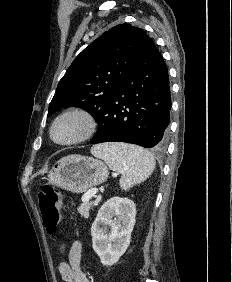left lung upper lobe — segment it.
Segmentation results:
<instances>
[{"label":"left lung upper lobe","mask_w":232,"mask_h":282,"mask_svg":"<svg viewBox=\"0 0 232 282\" xmlns=\"http://www.w3.org/2000/svg\"><path fill=\"white\" fill-rule=\"evenodd\" d=\"M140 28L117 25L103 33L72 62L49 104L48 116L80 107L99 123L117 91L140 60L149 41Z\"/></svg>","instance_id":"1"}]
</instances>
